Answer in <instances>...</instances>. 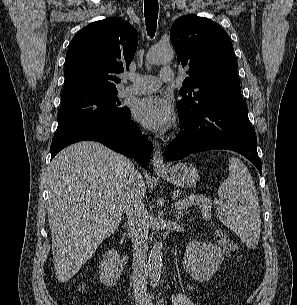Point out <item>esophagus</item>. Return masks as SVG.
Segmentation results:
<instances>
[{
    "instance_id": "34e87169",
    "label": "esophagus",
    "mask_w": 297,
    "mask_h": 305,
    "mask_svg": "<svg viewBox=\"0 0 297 305\" xmlns=\"http://www.w3.org/2000/svg\"><path fill=\"white\" fill-rule=\"evenodd\" d=\"M151 162H152L153 169L155 171L164 170V168H165L164 158H163V154H162V151L159 146H156V149L154 151Z\"/></svg>"
}]
</instances>
